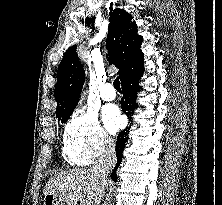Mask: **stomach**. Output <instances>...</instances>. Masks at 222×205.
<instances>
[{
	"label": "stomach",
	"mask_w": 222,
	"mask_h": 205,
	"mask_svg": "<svg viewBox=\"0 0 222 205\" xmlns=\"http://www.w3.org/2000/svg\"><path fill=\"white\" fill-rule=\"evenodd\" d=\"M43 205H66V202L52 193L45 194Z\"/></svg>",
	"instance_id": "0dacf381"
}]
</instances>
